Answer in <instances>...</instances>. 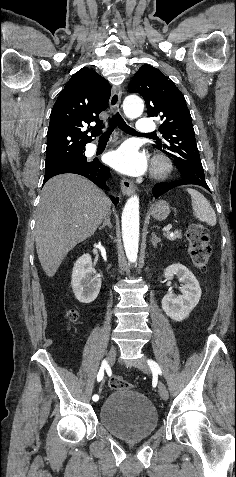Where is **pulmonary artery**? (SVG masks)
<instances>
[{
    "instance_id": "obj_1",
    "label": "pulmonary artery",
    "mask_w": 236,
    "mask_h": 477,
    "mask_svg": "<svg viewBox=\"0 0 236 477\" xmlns=\"http://www.w3.org/2000/svg\"><path fill=\"white\" fill-rule=\"evenodd\" d=\"M156 128L155 123L148 118H141L138 120L135 131L140 134H150Z\"/></svg>"
}]
</instances>
